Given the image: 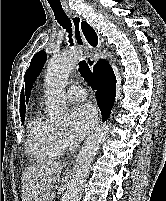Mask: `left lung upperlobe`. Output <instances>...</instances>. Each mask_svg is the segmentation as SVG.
I'll return each mask as SVG.
<instances>
[{
	"instance_id": "left-lung-upper-lobe-1",
	"label": "left lung upper lobe",
	"mask_w": 166,
	"mask_h": 201,
	"mask_svg": "<svg viewBox=\"0 0 166 201\" xmlns=\"http://www.w3.org/2000/svg\"><path fill=\"white\" fill-rule=\"evenodd\" d=\"M46 60V53L45 51L38 52L32 59L30 63V67L27 69L25 73V82H26V93H27V100L29 98L30 89L34 78L41 72L43 68V64Z\"/></svg>"
}]
</instances>
